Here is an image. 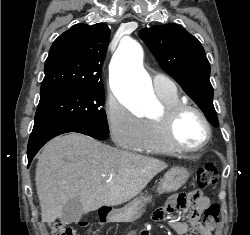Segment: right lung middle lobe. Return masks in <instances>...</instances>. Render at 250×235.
<instances>
[{
  "instance_id": "1",
  "label": "right lung middle lobe",
  "mask_w": 250,
  "mask_h": 235,
  "mask_svg": "<svg viewBox=\"0 0 250 235\" xmlns=\"http://www.w3.org/2000/svg\"><path fill=\"white\" fill-rule=\"evenodd\" d=\"M103 87L76 89L40 98L35 121L64 119L109 132Z\"/></svg>"
}]
</instances>
